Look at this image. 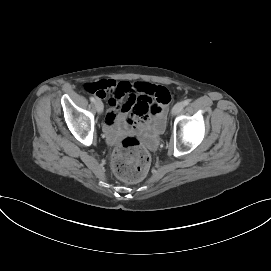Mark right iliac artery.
<instances>
[{
    "mask_svg": "<svg viewBox=\"0 0 271 271\" xmlns=\"http://www.w3.org/2000/svg\"><path fill=\"white\" fill-rule=\"evenodd\" d=\"M90 101L91 102H95V98L94 97H90Z\"/></svg>",
    "mask_w": 271,
    "mask_h": 271,
    "instance_id": "82829eb1",
    "label": "right iliac artery"
}]
</instances>
